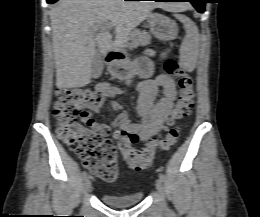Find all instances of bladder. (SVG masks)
Returning <instances> with one entry per match:
<instances>
[{"label":"bladder","instance_id":"bladder-1","mask_svg":"<svg viewBox=\"0 0 260 217\" xmlns=\"http://www.w3.org/2000/svg\"><path fill=\"white\" fill-rule=\"evenodd\" d=\"M144 194L137 192L128 195H113L109 193L101 194V200L112 207H127L142 202Z\"/></svg>","mask_w":260,"mask_h":217}]
</instances>
